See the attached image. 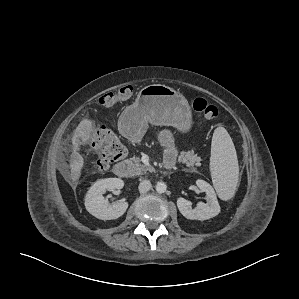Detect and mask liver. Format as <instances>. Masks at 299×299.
Returning <instances> with one entry per match:
<instances>
[{"instance_id": "obj_1", "label": "liver", "mask_w": 299, "mask_h": 299, "mask_svg": "<svg viewBox=\"0 0 299 299\" xmlns=\"http://www.w3.org/2000/svg\"><path fill=\"white\" fill-rule=\"evenodd\" d=\"M94 130V123L90 119L83 120L76 131V137H81V141L75 143L74 151L70 159L71 179L76 182L80 175L84 161L82 156L77 152L79 150V144H85L91 137Z\"/></svg>"}]
</instances>
